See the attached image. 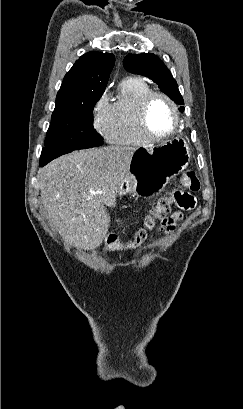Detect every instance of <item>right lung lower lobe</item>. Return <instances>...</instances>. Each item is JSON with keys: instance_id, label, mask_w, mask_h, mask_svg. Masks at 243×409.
<instances>
[{"instance_id": "right-lung-lower-lobe-1", "label": "right lung lower lobe", "mask_w": 243, "mask_h": 409, "mask_svg": "<svg viewBox=\"0 0 243 409\" xmlns=\"http://www.w3.org/2000/svg\"><path fill=\"white\" fill-rule=\"evenodd\" d=\"M74 150L77 149H43L40 157V166H44L51 160Z\"/></svg>"}]
</instances>
